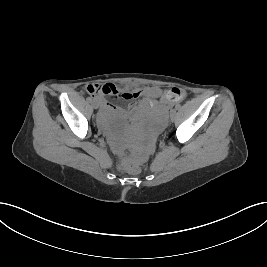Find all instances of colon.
<instances>
[{"label": "colon", "mask_w": 267, "mask_h": 267, "mask_svg": "<svg viewBox=\"0 0 267 267\" xmlns=\"http://www.w3.org/2000/svg\"><path fill=\"white\" fill-rule=\"evenodd\" d=\"M92 94L101 95L107 97L111 100H119L123 97L129 98V95L123 96L114 86L111 85H103V84H91ZM172 97L176 101H181L185 98L186 93L182 89L174 88L170 91ZM120 167L130 173H137L140 170V167L137 163H133L128 160H122Z\"/></svg>", "instance_id": "colon-1"}]
</instances>
